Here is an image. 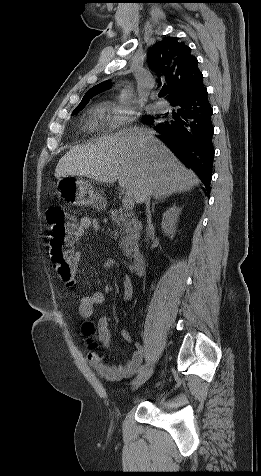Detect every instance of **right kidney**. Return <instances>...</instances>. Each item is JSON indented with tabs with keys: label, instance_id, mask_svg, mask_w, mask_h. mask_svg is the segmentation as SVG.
I'll use <instances>...</instances> for the list:
<instances>
[{
	"label": "right kidney",
	"instance_id": "1",
	"mask_svg": "<svg viewBox=\"0 0 261 476\" xmlns=\"http://www.w3.org/2000/svg\"><path fill=\"white\" fill-rule=\"evenodd\" d=\"M180 212L181 208L174 205L163 214L161 228L163 232L171 238L176 232V223Z\"/></svg>",
	"mask_w": 261,
	"mask_h": 476
}]
</instances>
